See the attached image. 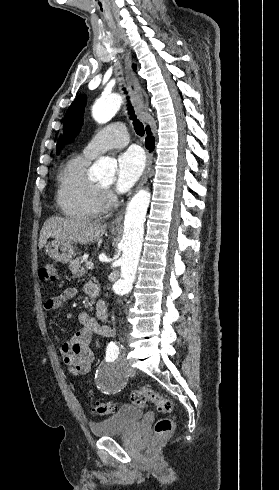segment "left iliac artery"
<instances>
[{
	"mask_svg": "<svg viewBox=\"0 0 279 490\" xmlns=\"http://www.w3.org/2000/svg\"><path fill=\"white\" fill-rule=\"evenodd\" d=\"M118 354H119L118 346H116L115 343L110 342V344L107 347L106 356H108L109 358H113L114 360L118 357Z\"/></svg>",
	"mask_w": 279,
	"mask_h": 490,
	"instance_id": "left-iliac-artery-1",
	"label": "left iliac artery"
}]
</instances>
